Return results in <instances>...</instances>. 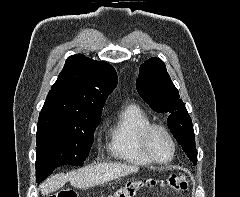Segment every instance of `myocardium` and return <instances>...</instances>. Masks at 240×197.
<instances>
[{
  "label": "myocardium",
  "mask_w": 240,
  "mask_h": 197,
  "mask_svg": "<svg viewBox=\"0 0 240 197\" xmlns=\"http://www.w3.org/2000/svg\"><path fill=\"white\" fill-rule=\"evenodd\" d=\"M155 130L163 131L171 142L172 154L168 160L165 161L158 160L150 149L149 139L152 132ZM140 145L143 153L152 163L162 166L170 164L174 160L177 152L176 140L172 135L171 131L166 126L159 123H150L142 130L140 134Z\"/></svg>",
  "instance_id": "f54148a6"
}]
</instances>
